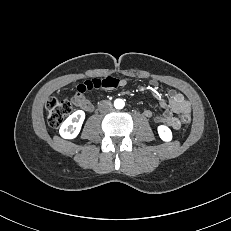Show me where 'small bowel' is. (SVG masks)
Returning <instances> with one entry per match:
<instances>
[{"label": "small bowel", "mask_w": 231, "mask_h": 231, "mask_svg": "<svg viewBox=\"0 0 231 231\" xmlns=\"http://www.w3.org/2000/svg\"><path fill=\"white\" fill-rule=\"evenodd\" d=\"M125 79H118L115 77H107L104 79H92L77 86V91L73 96V102L85 111H90L93 108L92 101L87 97L88 90L94 89H114L126 85ZM151 86L155 87L157 82L151 80ZM168 100L160 103L164 112L160 116H155L151 110H145L144 115L153 119L157 123H164L175 130L180 129L181 120L176 116L178 114H190L191 106L188 100L185 99L182 93L175 90H170L167 94Z\"/></svg>", "instance_id": "1"}]
</instances>
